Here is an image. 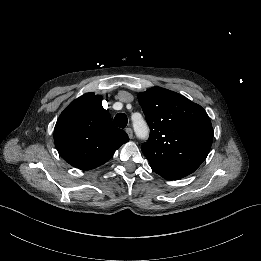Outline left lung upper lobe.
I'll return each mask as SVG.
<instances>
[{
    "mask_svg": "<svg viewBox=\"0 0 261 261\" xmlns=\"http://www.w3.org/2000/svg\"><path fill=\"white\" fill-rule=\"evenodd\" d=\"M150 127L141 150L154 172L167 180L193 173L206 159L213 128L206 111L186 97L153 87L138 94Z\"/></svg>",
    "mask_w": 261,
    "mask_h": 261,
    "instance_id": "left-lung-upper-lobe-1",
    "label": "left lung upper lobe"
}]
</instances>
